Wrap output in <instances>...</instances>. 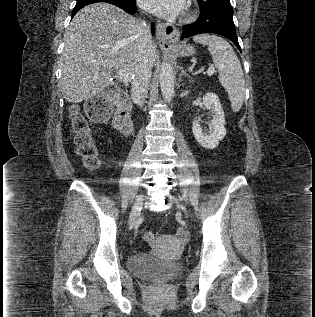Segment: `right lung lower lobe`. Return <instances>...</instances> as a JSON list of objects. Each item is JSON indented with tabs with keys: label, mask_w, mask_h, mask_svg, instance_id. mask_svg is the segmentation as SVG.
I'll return each mask as SVG.
<instances>
[{
	"label": "right lung lower lobe",
	"mask_w": 315,
	"mask_h": 317,
	"mask_svg": "<svg viewBox=\"0 0 315 317\" xmlns=\"http://www.w3.org/2000/svg\"><path fill=\"white\" fill-rule=\"evenodd\" d=\"M97 2H106L109 4H113L120 7L129 14H134L137 10L135 0H77L76 6L72 11V17L84 6ZM151 31L152 34H154L155 29L153 25Z\"/></svg>",
	"instance_id": "right-lung-lower-lobe-1"
}]
</instances>
